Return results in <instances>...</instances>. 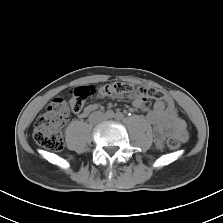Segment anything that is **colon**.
Instances as JSON below:
<instances>
[{
	"instance_id": "colon-1",
	"label": "colon",
	"mask_w": 223,
	"mask_h": 223,
	"mask_svg": "<svg viewBox=\"0 0 223 223\" xmlns=\"http://www.w3.org/2000/svg\"><path fill=\"white\" fill-rule=\"evenodd\" d=\"M94 93L95 89L92 86H80L72 91L69 103L63 99L55 100L34 122L33 139L35 143L50 151L62 150L64 141L61 129L68 120L70 110L73 112L82 111L86 100ZM123 94H133L142 100L162 99L168 107L174 104L172 97L160 89L129 82L118 81L106 84L101 86L98 91L99 97ZM167 145L170 149L175 150L180 146V139L171 136L167 139Z\"/></svg>"
}]
</instances>
